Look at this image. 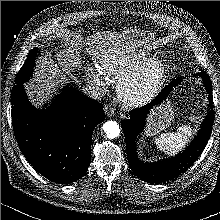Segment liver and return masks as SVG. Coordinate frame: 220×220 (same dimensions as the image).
<instances>
[{
    "mask_svg": "<svg viewBox=\"0 0 220 220\" xmlns=\"http://www.w3.org/2000/svg\"><path fill=\"white\" fill-rule=\"evenodd\" d=\"M132 37L117 32H100L87 38L75 36L74 40H67L65 45L68 48L56 54L57 63L49 56L41 57L36 64L35 78L30 83L24 84L32 103L37 106L49 100L59 85L68 80L66 74L77 66L79 51L82 48L95 58H111L131 52L132 46L135 45V42L131 40Z\"/></svg>",
    "mask_w": 220,
    "mask_h": 220,
    "instance_id": "6515ba94",
    "label": "liver"
}]
</instances>
